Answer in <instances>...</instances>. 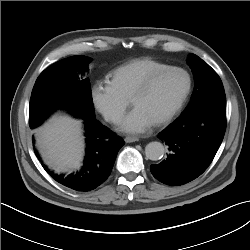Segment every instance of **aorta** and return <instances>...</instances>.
I'll return each instance as SVG.
<instances>
[{"instance_id": "aorta-1", "label": "aorta", "mask_w": 250, "mask_h": 250, "mask_svg": "<svg viewBox=\"0 0 250 250\" xmlns=\"http://www.w3.org/2000/svg\"><path fill=\"white\" fill-rule=\"evenodd\" d=\"M165 153V148L160 142H150L145 147V155L148 159L157 161L160 160Z\"/></svg>"}]
</instances>
